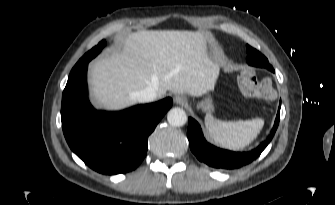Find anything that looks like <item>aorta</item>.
<instances>
[{"mask_svg": "<svg viewBox=\"0 0 335 205\" xmlns=\"http://www.w3.org/2000/svg\"><path fill=\"white\" fill-rule=\"evenodd\" d=\"M167 120L170 125L180 127L187 122V115L183 109L175 107L167 113Z\"/></svg>", "mask_w": 335, "mask_h": 205, "instance_id": "aorta-1", "label": "aorta"}]
</instances>
